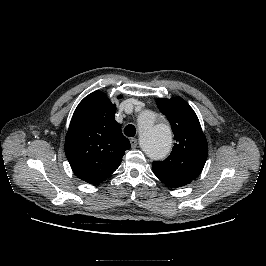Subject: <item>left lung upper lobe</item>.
Returning <instances> with one entry per match:
<instances>
[{
	"instance_id": "5c2ea615",
	"label": "left lung upper lobe",
	"mask_w": 266,
	"mask_h": 266,
	"mask_svg": "<svg viewBox=\"0 0 266 266\" xmlns=\"http://www.w3.org/2000/svg\"><path fill=\"white\" fill-rule=\"evenodd\" d=\"M157 106L171 124L175 143L166 160L153 162V172L171 188L187 185L199 176L205 165L206 137L196 113L184 99L159 98Z\"/></svg>"
}]
</instances>
